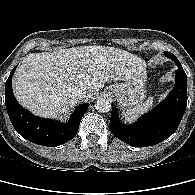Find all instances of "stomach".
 <instances>
[{
  "label": "stomach",
  "mask_w": 195,
  "mask_h": 195,
  "mask_svg": "<svg viewBox=\"0 0 195 195\" xmlns=\"http://www.w3.org/2000/svg\"><path fill=\"white\" fill-rule=\"evenodd\" d=\"M146 69L133 75V77L121 83H115L108 88V92L114 96L123 108L131 109L140 105L146 97Z\"/></svg>",
  "instance_id": "1"
}]
</instances>
